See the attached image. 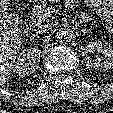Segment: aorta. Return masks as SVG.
<instances>
[{"label":"aorta","mask_w":113,"mask_h":113,"mask_svg":"<svg viewBox=\"0 0 113 113\" xmlns=\"http://www.w3.org/2000/svg\"><path fill=\"white\" fill-rule=\"evenodd\" d=\"M54 37L58 44L64 45L72 39V34L68 28H60L56 31Z\"/></svg>","instance_id":"762f6f07"}]
</instances>
